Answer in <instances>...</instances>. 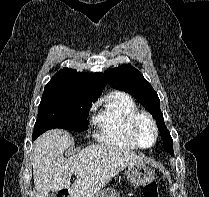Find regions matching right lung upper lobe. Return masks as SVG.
I'll return each instance as SVG.
<instances>
[{
    "label": "right lung upper lobe",
    "mask_w": 209,
    "mask_h": 197,
    "mask_svg": "<svg viewBox=\"0 0 209 197\" xmlns=\"http://www.w3.org/2000/svg\"><path fill=\"white\" fill-rule=\"evenodd\" d=\"M47 85L79 87L98 98L106 81L103 73H83L64 68L57 72Z\"/></svg>",
    "instance_id": "1"
}]
</instances>
